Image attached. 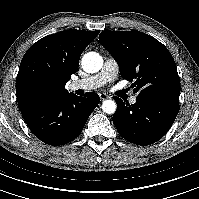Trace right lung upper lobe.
I'll return each instance as SVG.
<instances>
[{
    "label": "right lung upper lobe",
    "instance_id": "1",
    "mask_svg": "<svg viewBox=\"0 0 199 199\" xmlns=\"http://www.w3.org/2000/svg\"><path fill=\"white\" fill-rule=\"evenodd\" d=\"M99 31L64 30L45 36L25 53L17 74L20 111L68 95L67 81L75 74L81 53Z\"/></svg>",
    "mask_w": 199,
    "mask_h": 199
}]
</instances>
